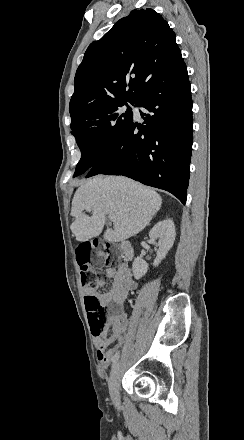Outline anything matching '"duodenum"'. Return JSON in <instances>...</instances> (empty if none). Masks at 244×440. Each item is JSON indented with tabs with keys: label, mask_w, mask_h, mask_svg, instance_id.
Segmentation results:
<instances>
[{
	"label": "duodenum",
	"mask_w": 244,
	"mask_h": 440,
	"mask_svg": "<svg viewBox=\"0 0 244 440\" xmlns=\"http://www.w3.org/2000/svg\"><path fill=\"white\" fill-rule=\"evenodd\" d=\"M120 251L123 258L126 260H131L133 258V252L132 248L130 246V243L127 241H123L120 243Z\"/></svg>",
	"instance_id": "410a0bca"
}]
</instances>
